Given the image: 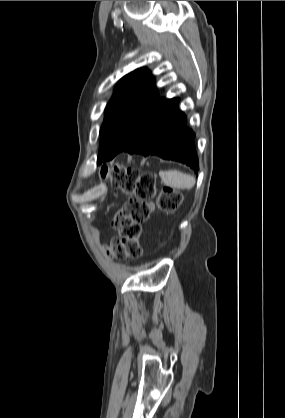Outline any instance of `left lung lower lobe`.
<instances>
[{"label":"left lung lower lobe","instance_id":"obj_1","mask_svg":"<svg viewBox=\"0 0 285 418\" xmlns=\"http://www.w3.org/2000/svg\"><path fill=\"white\" fill-rule=\"evenodd\" d=\"M179 98L164 99L143 124L128 146L130 154L157 155L199 169L194 145V132L186 127V115L178 110ZM109 152H101L106 158Z\"/></svg>","mask_w":285,"mask_h":418}]
</instances>
